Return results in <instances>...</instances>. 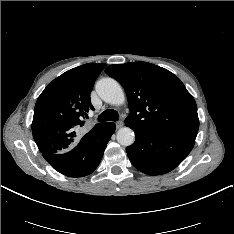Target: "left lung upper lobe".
<instances>
[{
	"instance_id": "obj_1",
	"label": "left lung upper lobe",
	"mask_w": 234,
	"mask_h": 234,
	"mask_svg": "<svg viewBox=\"0 0 234 234\" xmlns=\"http://www.w3.org/2000/svg\"><path fill=\"white\" fill-rule=\"evenodd\" d=\"M105 72L124 87L131 115L125 119L150 130L198 132L197 106L181 80L147 62L114 64Z\"/></svg>"
}]
</instances>
